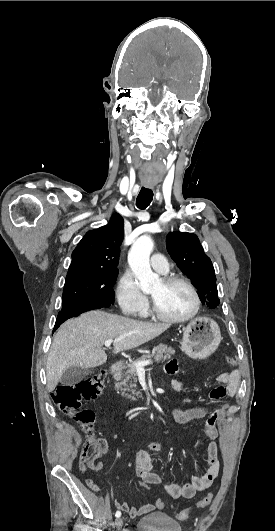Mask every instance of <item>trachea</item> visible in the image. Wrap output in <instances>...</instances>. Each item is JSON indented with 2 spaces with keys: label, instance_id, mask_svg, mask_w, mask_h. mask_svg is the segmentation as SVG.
<instances>
[{
  "label": "trachea",
  "instance_id": "1",
  "mask_svg": "<svg viewBox=\"0 0 275 531\" xmlns=\"http://www.w3.org/2000/svg\"><path fill=\"white\" fill-rule=\"evenodd\" d=\"M153 199V191L152 189L148 188H141L138 197L136 199V206L139 209H146L147 206L150 205L151 201Z\"/></svg>",
  "mask_w": 275,
  "mask_h": 531
}]
</instances>
